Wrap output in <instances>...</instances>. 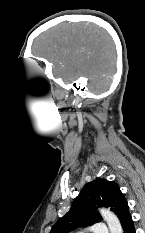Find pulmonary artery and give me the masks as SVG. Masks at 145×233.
<instances>
[{
	"label": "pulmonary artery",
	"instance_id": "e3ab8cb5",
	"mask_svg": "<svg viewBox=\"0 0 145 233\" xmlns=\"http://www.w3.org/2000/svg\"><path fill=\"white\" fill-rule=\"evenodd\" d=\"M87 233H108V228L106 226L105 223L100 222L97 223L95 225H93L88 231H86Z\"/></svg>",
	"mask_w": 145,
	"mask_h": 233
}]
</instances>
